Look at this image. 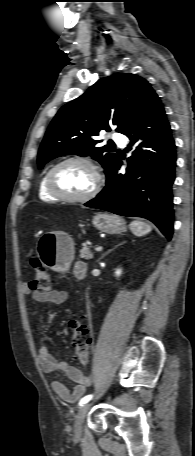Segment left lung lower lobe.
<instances>
[{
    "label": "left lung lower lobe",
    "mask_w": 195,
    "mask_h": 456,
    "mask_svg": "<svg viewBox=\"0 0 195 456\" xmlns=\"http://www.w3.org/2000/svg\"><path fill=\"white\" fill-rule=\"evenodd\" d=\"M132 143L141 141L125 174L118 172L119 158L106 175V186L84 205L118 215L151 220L170 240L173 234L171 186L175 179L176 152L170 125L158 96L135 118L125 133Z\"/></svg>",
    "instance_id": "0a47b994"
}]
</instances>
